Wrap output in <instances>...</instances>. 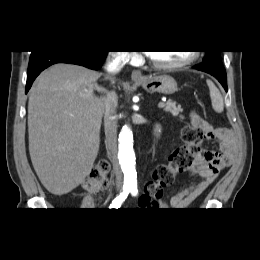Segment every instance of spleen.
Returning <instances> with one entry per match:
<instances>
[{"instance_id":"obj_1","label":"spleen","mask_w":260,"mask_h":260,"mask_svg":"<svg viewBox=\"0 0 260 260\" xmlns=\"http://www.w3.org/2000/svg\"><path fill=\"white\" fill-rule=\"evenodd\" d=\"M207 85L210 91L212 108L214 109L215 112L222 113L224 110V101L220 91L210 80H207Z\"/></svg>"}]
</instances>
